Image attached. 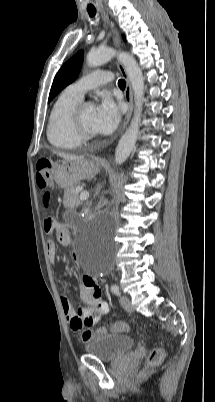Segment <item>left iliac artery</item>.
I'll list each match as a JSON object with an SVG mask.
<instances>
[{
  "label": "left iliac artery",
  "instance_id": "left-iliac-artery-1",
  "mask_svg": "<svg viewBox=\"0 0 215 402\" xmlns=\"http://www.w3.org/2000/svg\"><path fill=\"white\" fill-rule=\"evenodd\" d=\"M111 291L113 292V294H115L117 296H120V294H121L120 291H119V287L117 285H113L111 287Z\"/></svg>",
  "mask_w": 215,
  "mask_h": 402
}]
</instances>
